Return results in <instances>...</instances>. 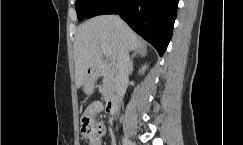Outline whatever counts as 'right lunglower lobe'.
Listing matches in <instances>:
<instances>
[{
  "mask_svg": "<svg viewBox=\"0 0 243 145\" xmlns=\"http://www.w3.org/2000/svg\"><path fill=\"white\" fill-rule=\"evenodd\" d=\"M179 0H102L85 18L119 14L162 56L173 30Z\"/></svg>",
  "mask_w": 243,
  "mask_h": 145,
  "instance_id": "right-lung-lower-lobe-1",
  "label": "right lung lower lobe"
}]
</instances>
